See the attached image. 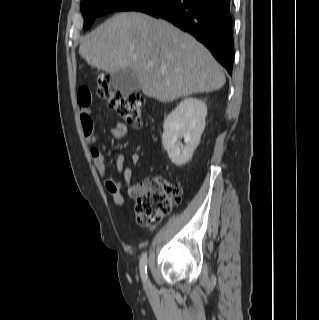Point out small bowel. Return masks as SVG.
<instances>
[{
	"label": "small bowel",
	"mask_w": 319,
	"mask_h": 320,
	"mask_svg": "<svg viewBox=\"0 0 319 320\" xmlns=\"http://www.w3.org/2000/svg\"><path fill=\"white\" fill-rule=\"evenodd\" d=\"M77 103L80 107L79 121L84 131L85 139L88 143H94L95 122L91 113L92 96L88 88L83 87L79 90ZM127 133V126L120 121L116 122L111 130V136L114 139H121L125 137ZM89 153L95 168L104 180L105 188L112 196L113 202L116 205H124L126 203V198L121 192L123 188L127 189V195L129 197L137 196L139 185L132 184L133 170L130 164H137L140 161V155L138 153H131L129 155L130 164H126V157L123 152L116 151L113 153L116 172L115 178L109 174L105 164L103 149L91 147ZM120 177L123 178V181L120 180Z\"/></svg>",
	"instance_id": "1"
}]
</instances>
